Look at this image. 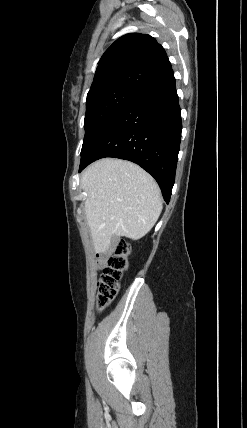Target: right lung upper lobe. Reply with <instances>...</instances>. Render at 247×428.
<instances>
[{
    "mask_svg": "<svg viewBox=\"0 0 247 428\" xmlns=\"http://www.w3.org/2000/svg\"><path fill=\"white\" fill-rule=\"evenodd\" d=\"M171 70L166 52L155 38L127 34L101 57L88 95L115 87L141 92Z\"/></svg>",
    "mask_w": 247,
    "mask_h": 428,
    "instance_id": "cb5924a9",
    "label": "right lung upper lobe"
}]
</instances>
